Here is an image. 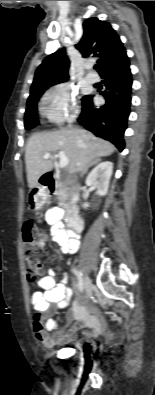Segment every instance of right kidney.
Segmentation results:
<instances>
[{
    "label": "right kidney",
    "mask_w": 155,
    "mask_h": 395,
    "mask_svg": "<svg viewBox=\"0 0 155 395\" xmlns=\"http://www.w3.org/2000/svg\"><path fill=\"white\" fill-rule=\"evenodd\" d=\"M113 172V163L109 161L98 164L86 178V184L97 189L99 196L108 192L109 181Z\"/></svg>",
    "instance_id": "right-kidney-1"
}]
</instances>
